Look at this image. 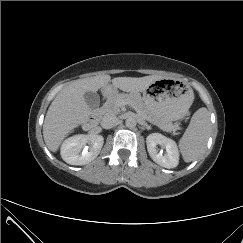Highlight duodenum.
Returning <instances> with one entry per match:
<instances>
[{"label": "duodenum", "instance_id": "410a0bca", "mask_svg": "<svg viewBox=\"0 0 243 243\" xmlns=\"http://www.w3.org/2000/svg\"><path fill=\"white\" fill-rule=\"evenodd\" d=\"M113 93V90L111 88H106L104 90L103 96L104 98L109 97ZM99 122V113L95 112L93 113L84 123V128L86 130H93Z\"/></svg>", "mask_w": 243, "mask_h": 243}]
</instances>
